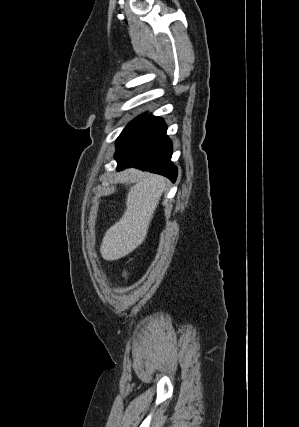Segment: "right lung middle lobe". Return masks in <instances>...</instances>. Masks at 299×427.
Here are the masks:
<instances>
[{"label":"right lung middle lobe","instance_id":"obj_1","mask_svg":"<svg viewBox=\"0 0 299 427\" xmlns=\"http://www.w3.org/2000/svg\"><path fill=\"white\" fill-rule=\"evenodd\" d=\"M145 117H146V114H142L138 116L136 119H134L132 122H130L118 137L116 141V145L119 144L123 139H125Z\"/></svg>","mask_w":299,"mask_h":427}]
</instances>
